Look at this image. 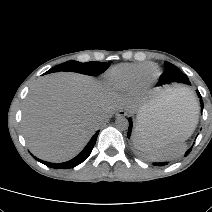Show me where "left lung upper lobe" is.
<instances>
[{
  "label": "left lung upper lobe",
  "mask_w": 212,
  "mask_h": 212,
  "mask_svg": "<svg viewBox=\"0 0 212 212\" xmlns=\"http://www.w3.org/2000/svg\"><path fill=\"white\" fill-rule=\"evenodd\" d=\"M166 71L161 74L158 85L170 84L172 82L190 84L187 76L175 65L165 62Z\"/></svg>",
  "instance_id": "left-lung-upper-lobe-1"
}]
</instances>
